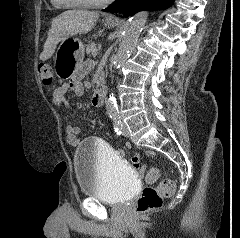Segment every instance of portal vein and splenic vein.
I'll list each match as a JSON object with an SVG mask.
<instances>
[{
  "mask_svg": "<svg viewBox=\"0 0 240 238\" xmlns=\"http://www.w3.org/2000/svg\"><path fill=\"white\" fill-rule=\"evenodd\" d=\"M97 54H98V50H95L93 55L97 56Z\"/></svg>",
  "mask_w": 240,
  "mask_h": 238,
  "instance_id": "1",
  "label": "portal vein and splenic vein"
}]
</instances>
